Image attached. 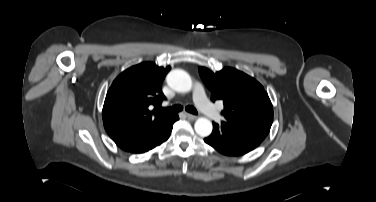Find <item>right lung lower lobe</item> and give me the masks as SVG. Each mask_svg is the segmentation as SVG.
<instances>
[{
  "label": "right lung lower lobe",
  "instance_id": "98d812e1",
  "mask_svg": "<svg viewBox=\"0 0 376 202\" xmlns=\"http://www.w3.org/2000/svg\"><path fill=\"white\" fill-rule=\"evenodd\" d=\"M179 119L173 114L155 127L148 129L143 134L127 144L119 146L121 149L131 153H144L166 141L172 131L173 123Z\"/></svg>",
  "mask_w": 376,
  "mask_h": 202
}]
</instances>
